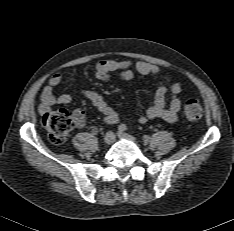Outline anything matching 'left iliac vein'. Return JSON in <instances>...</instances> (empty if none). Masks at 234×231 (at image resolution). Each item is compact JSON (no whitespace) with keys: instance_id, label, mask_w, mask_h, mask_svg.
Listing matches in <instances>:
<instances>
[{"instance_id":"4c4485c4","label":"left iliac vein","mask_w":234,"mask_h":231,"mask_svg":"<svg viewBox=\"0 0 234 231\" xmlns=\"http://www.w3.org/2000/svg\"><path fill=\"white\" fill-rule=\"evenodd\" d=\"M118 137L121 139H127V140H131V141L135 142V139L133 137H131L129 134L124 133L122 131H118Z\"/></svg>"}]
</instances>
